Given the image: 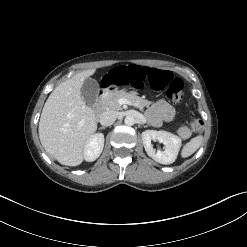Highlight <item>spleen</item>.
Instances as JSON below:
<instances>
[{
  "label": "spleen",
  "instance_id": "3e777b00",
  "mask_svg": "<svg viewBox=\"0 0 247 247\" xmlns=\"http://www.w3.org/2000/svg\"><path fill=\"white\" fill-rule=\"evenodd\" d=\"M203 141V136L199 135L192 138L182 149L181 156L183 158L192 155L201 145Z\"/></svg>",
  "mask_w": 247,
  "mask_h": 247
}]
</instances>
